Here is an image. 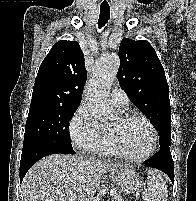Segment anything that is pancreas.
I'll list each match as a JSON object with an SVG mask.
<instances>
[{
  "label": "pancreas",
  "mask_w": 196,
  "mask_h": 201,
  "mask_svg": "<svg viewBox=\"0 0 196 201\" xmlns=\"http://www.w3.org/2000/svg\"><path fill=\"white\" fill-rule=\"evenodd\" d=\"M113 201H123V200H121V199H115V200H113Z\"/></svg>",
  "instance_id": "obj_1"
}]
</instances>
